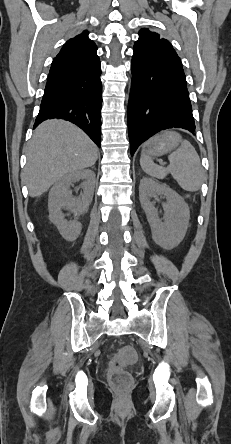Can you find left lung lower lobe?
<instances>
[{
  "instance_id": "left-lung-lower-lobe-1",
  "label": "left lung lower lobe",
  "mask_w": 231,
  "mask_h": 444,
  "mask_svg": "<svg viewBox=\"0 0 231 444\" xmlns=\"http://www.w3.org/2000/svg\"><path fill=\"white\" fill-rule=\"evenodd\" d=\"M128 105L131 155L155 133L183 128L194 133L195 123L183 69L160 58L134 53Z\"/></svg>"
}]
</instances>
